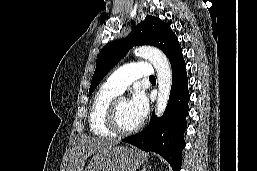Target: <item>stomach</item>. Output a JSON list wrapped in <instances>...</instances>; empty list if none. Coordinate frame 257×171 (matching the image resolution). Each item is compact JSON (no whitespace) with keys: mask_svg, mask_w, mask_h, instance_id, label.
Segmentation results:
<instances>
[{"mask_svg":"<svg viewBox=\"0 0 257 171\" xmlns=\"http://www.w3.org/2000/svg\"><path fill=\"white\" fill-rule=\"evenodd\" d=\"M145 161L142 152L126 146H112L93 156L84 171H136Z\"/></svg>","mask_w":257,"mask_h":171,"instance_id":"stomach-1","label":"stomach"}]
</instances>
